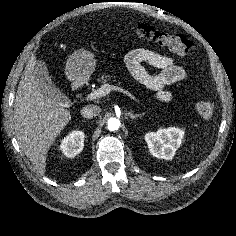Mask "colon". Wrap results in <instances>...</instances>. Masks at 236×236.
Masks as SVG:
<instances>
[{
	"instance_id": "5ec220e1",
	"label": "colon",
	"mask_w": 236,
	"mask_h": 236,
	"mask_svg": "<svg viewBox=\"0 0 236 236\" xmlns=\"http://www.w3.org/2000/svg\"><path fill=\"white\" fill-rule=\"evenodd\" d=\"M132 31L139 39L168 48L180 55H188L193 50L192 41L182 34L159 31L147 24L134 25ZM196 110L201 118L210 119L214 114L215 107L209 101H199L196 104Z\"/></svg>"
}]
</instances>
